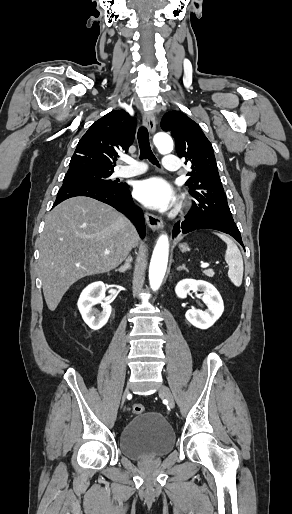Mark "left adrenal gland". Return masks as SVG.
<instances>
[{
	"instance_id": "1",
	"label": "left adrenal gland",
	"mask_w": 292,
	"mask_h": 514,
	"mask_svg": "<svg viewBox=\"0 0 292 514\" xmlns=\"http://www.w3.org/2000/svg\"><path fill=\"white\" fill-rule=\"evenodd\" d=\"M177 270H186V272H188L187 268H185V264H182V266H179V268H177Z\"/></svg>"
}]
</instances>
